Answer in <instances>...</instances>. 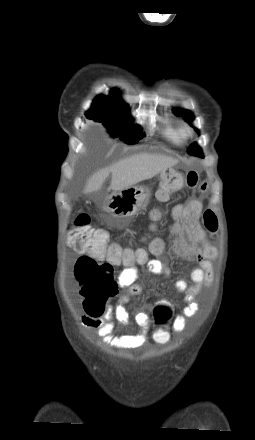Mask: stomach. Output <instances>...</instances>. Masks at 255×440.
Listing matches in <instances>:
<instances>
[{
  "instance_id": "stomach-1",
  "label": "stomach",
  "mask_w": 255,
  "mask_h": 440,
  "mask_svg": "<svg viewBox=\"0 0 255 440\" xmlns=\"http://www.w3.org/2000/svg\"><path fill=\"white\" fill-rule=\"evenodd\" d=\"M167 171L174 172L173 169H164L162 177ZM151 194L146 187L132 186L121 191H114L102 204V208L113 220L126 224L138 212L145 209L149 203Z\"/></svg>"
}]
</instances>
